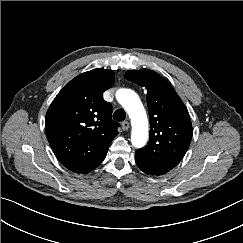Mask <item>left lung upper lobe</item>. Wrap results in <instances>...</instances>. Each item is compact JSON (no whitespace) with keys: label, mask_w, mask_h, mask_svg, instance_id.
Instances as JSON below:
<instances>
[{"label":"left lung upper lobe","mask_w":243,"mask_h":243,"mask_svg":"<svg viewBox=\"0 0 243 243\" xmlns=\"http://www.w3.org/2000/svg\"><path fill=\"white\" fill-rule=\"evenodd\" d=\"M125 78L148 91L150 139L136 151V164L146 174L163 175L182 160L189 148L192 124L188 110L173 87L156 72L128 70Z\"/></svg>","instance_id":"1"}]
</instances>
